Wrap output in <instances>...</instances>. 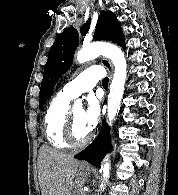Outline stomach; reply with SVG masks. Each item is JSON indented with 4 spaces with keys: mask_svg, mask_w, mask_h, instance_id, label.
<instances>
[{
    "mask_svg": "<svg viewBox=\"0 0 178 195\" xmlns=\"http://www.w3.org/2000/svg\"><path fill=\"white\" fill-rule=\"evenodd\" d=\"M91 170L80 167L75 181L70 185L65 195H80L82 191V185L90 176Z\"/></svg>",
    "mask_w": 178,
    "mask_h": 195,
    "instance_id": "0dacf381",
    "label": "stomach"
}]
</instances>
